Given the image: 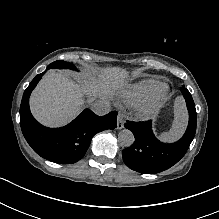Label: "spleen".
Instances as JSON below:
<instances>
[{"mask_svg":"<svg viewBox=\"0 0 219 219\" xmlns=\"http://www.w3.org/2000/svg\"><path fill=\"white\" fill-rule=\"evenodd\" d=\"M174 121L169 132L161 133L157 139L161 143L173 144L178 142L188 128L189 113L183 95H177L174 100Z\"/></svg>","mask_w":219,"mask_h":219,"instance_id":"1","label":"spleen"}]
</instances>
